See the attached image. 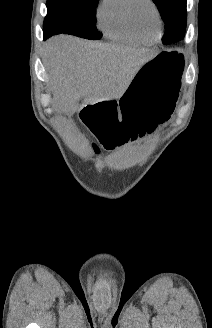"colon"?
Here are the masks:
<instances>
[{"label":"colon","instance_id":"obj_1","mask_svg":"<svg viewBox=\"0 0 212 328\" xmlns=\"http://www.w3.org/2000/svg\"><path fill=\"white\" fill-rule=\"evenodd\" d=\"M93 147H94L95 150H97V145L96 144H93Z\"/></svg>","mask_w":212,"mask_h":328}]
</instances>
